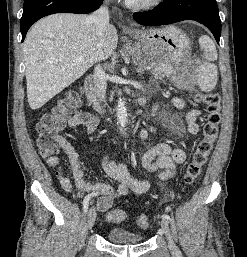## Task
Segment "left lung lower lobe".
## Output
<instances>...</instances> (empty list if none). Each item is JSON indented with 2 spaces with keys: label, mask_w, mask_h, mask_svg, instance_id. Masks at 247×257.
I'll return each instance as SVG.
<instances>
[{
  "label": "left lung lower lobe",
  "mask_w": 247,
  "mask_h": 257,
  "mask_svg": "<svg viewBox=\"0 0 247 257\" xmlns=\"http://www.w3.org/2000/svg\"><path fill=\"white\" fill-rule=\"evenodd\" d=\"M133 18L146 26L195 20L209 28L219 44L221 21L215 0H164L162 5L153 10L135 12Z\"/></svg>",
  "instance_id": "0a47b994"
}]
</instances>
